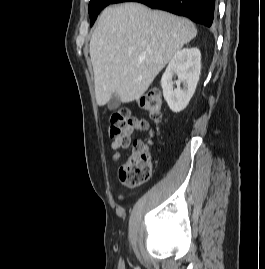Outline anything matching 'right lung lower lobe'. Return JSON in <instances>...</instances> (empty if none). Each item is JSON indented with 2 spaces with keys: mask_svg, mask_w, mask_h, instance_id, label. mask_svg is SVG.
<instances>
[{
  "mask_svg": "<svg viewBox=\"0 0 265 269\" xmlns=\"http://www.w3.org/2000/svg\"><path fill=\"white\" fill-rule=\"evenodd\" d=\"M216 0H114L113 3L139 2L154 9H161L190 18L210 27L216 12Z\"/></svg>",
  "mask_w": 265,
  "mask_h": 269,
  "instance_id": "obj_1",
  "label": "right lung lower lobe"
}]
</instances>
